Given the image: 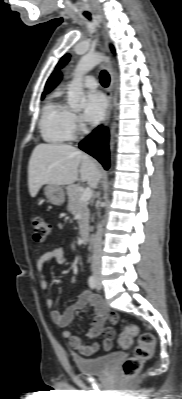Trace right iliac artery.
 <instances>
[{"label":"right iliac artery","mask_w":182,"mask_h":399,"mask_svg":"<svg viewBox=\"0 0 182 399\" xmlns=\"http://www.w3.org/2000/svg\"><path fill=\"white\" fill-rule=\"evenodd\" d=\"M88 284L90 286L91 289H95L97 286V281H96V277L94 275H91L88 279Z\"/></svg>","instance_id":"obj_1"}]
</instances>
